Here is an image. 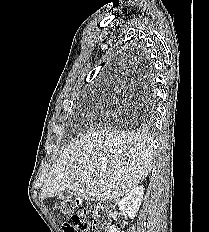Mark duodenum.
<instances>
[{
  "instance_id": "obj_1",
  "label": "duodenum",
  "mask_w": 209,
  "mask_h": 232,
  "mask_svg": "<svg viewBox=\"0 0 209 232\" xmlns=\"http://www.w3.org/2000/svg\"><path fill=\"white\" fill-rule=\"evenodd\" d=\"M96 221L94 224V228L96 232H106L109 223L106 217V207L103 204H99L95 210Z\"/></svg>"
}]
</instances>
